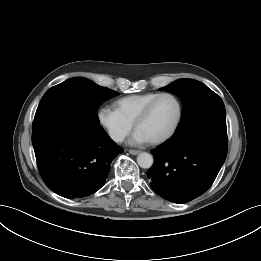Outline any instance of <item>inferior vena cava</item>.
Wrapping results in <instances>:
<instances>
[{"label":"inferior vena cava","mask_w":261,"mask_h":261,"mask_svg":"<svg viewBox=\"0 0 261 261\" xmlns=\"http://www.w3.org/2000/svg\"><path fill=\"white\" fill-rule=\"evenodd\" d=\"M112 139L116 142H122L124 140L123 135H112Z\"/></svg>","instance_id":"1"}]
</instances>
